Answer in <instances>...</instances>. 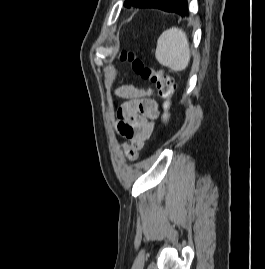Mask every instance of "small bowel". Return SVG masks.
Wrapping results in <instances>:
<instances>
[{"instance_id": "obj_1", "label": "small bowel", "mask_w": 265, "mask_h": 269, "mask_svg": "<svg viewBox=\"0 0 265 269\" xmlns=\"http://www.w3.org/2000/svg\"><path fill=\"white\" fill-rule=\"evenodd\" d=\"M115 94L128 99L118 110V127L121 122H126L135 128L133 137L123 146L128 158L135 159L153 131L154 120L158 116L157 103L150 97V90L133 86H121L116 89Z\"/></svg>"}]
</instances>
